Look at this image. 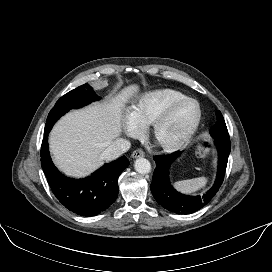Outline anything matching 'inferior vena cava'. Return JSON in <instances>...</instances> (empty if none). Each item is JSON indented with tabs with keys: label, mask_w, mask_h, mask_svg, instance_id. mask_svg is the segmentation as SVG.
<instances>
[{
	"label": "inferior vena cava",
	"mask_w": 272,
	"mask_h": 272,
	"mask_svg": "<svg viewBox=\"0 0 272 272\" xmlns=\"http://www.w3.org/2000/svg\"><path fill=\"white\" fill-rule=\"evenodd\" d=\"M130 142L126 139L114 140L103 152L102 156L105 160H114L129 150Z\"/></svg>",
	"instance_id": "inferior-vena-cava-1"
}]
</instances>
